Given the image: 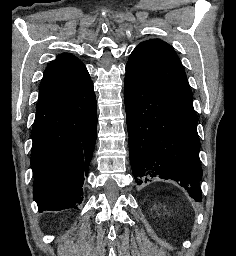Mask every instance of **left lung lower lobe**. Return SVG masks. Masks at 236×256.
Segmentation results:
<instances>
[{
  "instance_id": "obj_1",
  "label": "left lung lower lobe",
  "mask_w": 236,
  "mask_h": 256,
  "mask_svg": "<svg viewBox=\"0 0 236 256\" xmlns=\"http://www.w3.org/2000/svg\"><path fill=\"white\" fill-rule=\"evenodd\" d=\"M124 100L136 184L171 179L201 201L198 117L193 103L130 73L125 75Z\"/></svg>"
}]
</instances>
